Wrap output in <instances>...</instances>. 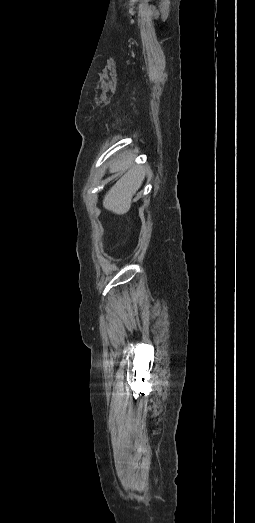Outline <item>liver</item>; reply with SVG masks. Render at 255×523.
<instances>
[{
	"instance_id": "obj_1",
	"label": "liver",
	"mask_w": 255,
	"mask_h": 523,
	"mask_svg": "<svg viewBox=\"0 0 255 523\" xmlns=\"http://www.w3.org/2000/svg\"><path fill=\"white\" fill-rule=\"evenodd\" d=\"M131 164L132 160L128 158V160L114 162V164L110 166L109 172H111V174H114V172L124 174V176L110 188L103 200L104 208L109 210V212H113V214H117V216H123V214L129 212L132 198L137 190L141 188L145 178L146 168H143V166H133V168H131Z\"/></svg>"
}]
</instances>
